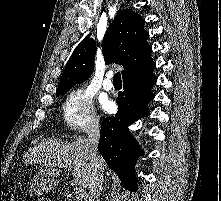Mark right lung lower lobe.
Returning <instances> with one entry per match:
<instances>
[{"label": "right lung lower lobe", "instance_id": "1", "mask_svg": "<svg viewBox=\"0 0 221 201\" xmlns=\"http://www.w3.org/2000/svg\"><path fill=\"white\" fill-rule=\"evenodd\" d=\"M156 64L123 78V91L118 94V112L102 122L98 150L108 166L115 171L126 189H137L134 161L143 154L128 126L149 114L147 103L154 98L151 87L156 84L153 74Z\"/></svg>", "mask_w": 221, "mask_h": 201}]
</instances>
